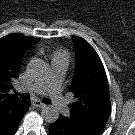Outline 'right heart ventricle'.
<instances>
[{
  "label": "right heart ventricle",
  "mask_w": 135,
  "mask_h": 135,
  "mask_svg": "<svg viewBox=\"0 0 135 135\" xmlns=\"http://www.w3.org/2000/svg\"><path fill=\"white\" fill-rule=\"evenodd\" d=\"M51 59L52 63H67L69 60V53L65 49H56L55 51H53Z\"/></svg>",
  "instance_id": "obj_1"
}]
</instances>
